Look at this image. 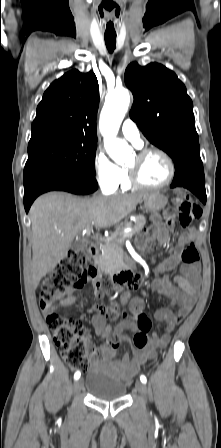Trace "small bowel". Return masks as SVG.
I'll return each instance as SVG.
<instances>
[{"label":"small bowel","mask_w":221,"mask_h":448,"mask_svg":"<svg viewBox=\"0 0 221 448\" xmlns=\"http://www.w3.org/2000/svg\"><path fill=\"white\" fill-rule=\"evenodd\" d=\"M175 220L174 214L166 212L165 219L162 221L158 217L152 219V225L146 235L137 240V245L145 249L149 243L165 245L169 239V232ZM191 236L183 235L178 243L175 253L161 262L157 271L165 274L172 268L182 262L181 249L189 243ZM200 284V270L197 264H181V274L175 276L173 281L166 277L157 279L153 283V290L169 298L173 305L178 307L177 312L168 308H161L155 312V319L165 323L164 331L161 335L153 333L145 347L133 348L132 354L125 353L121 359L117 358L118 346L121 342H130L129 332H138V323L136 318H124L115 327L114 331L106 323V318H114L118 314L117 307L95 305L89 309L92 315V326L95 333L105 340V344L99 351L91 352L92 363L96 369H106L111 371L116 377L127 380L135 375L140 366L147 360L156 356L158 350L167 346L171 332L178 324L177 320L185 317L192 309ZM93 294L101 297L100 283L98 280L92 282ZM127 297L125 301H127ZM78 297L74 295L67 296L61 306L70 307L77 303ZM144 302L140 297L130 300V309L134 317L142 313Z\"/></svg>","instance_id":"c3829d8e"}]
</instances>
